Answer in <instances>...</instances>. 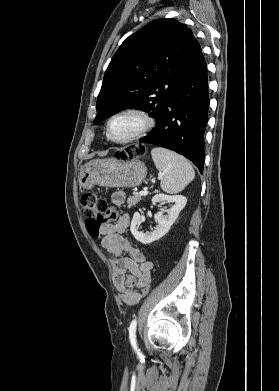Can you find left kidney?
I'll return each instance as SVG.
<instances>
[{"label":"left kidney","instance_id":"1","mask_svg":"<svg viewBox=\"0 0 279 391\" xmlns=\"http://www.w3.org/2000/svg\"><path fill=\"white\" fill-rule=\"evenodd\" d=\"M152 202L153 203L168 202V203H172L173 205L166 215H163L162 213H158L155 216V221L157 222V225L153 232L144 233L142 231H139V223L142 219V216L138 212H136L133 215V219L130 227L131 233L137 241L143 244H150L160 239L170 230L171 226L178 218L179 213L185 207L187 203V199L183 195L156 194L152 198Z\"/></svg>","mask_w":279,"mask_h":391}]
</instances>
